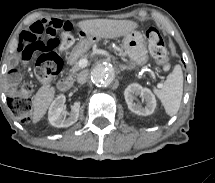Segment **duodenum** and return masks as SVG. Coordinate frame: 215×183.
I'll return each instance as SVG.
<instances>
[{"instance_id":"obj_1","label":"duodenum","mask_w":215,"mask_h":183,"mask_svg":"<svg viewBox=\"0 0 215 183\" xmlns=\"http://www.w3.org/2000/svg\"><path fill=\"white\" fill-rule=\"evenodd\" d=\"M73 85V80L70 77L63 78L59 81L58 87L61 91H68Z\"/></svg>"}]
</instances>
